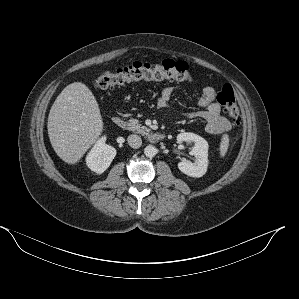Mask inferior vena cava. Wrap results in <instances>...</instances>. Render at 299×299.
<instances>
[{"mask_svg": "<svg viewBox=\"0 0 299 299\" xmlns=\"http://www.w3.org/2000/svg\"><path fill=\"white\" fill-rule=\"evenodd\" d=\"M128 144L132 147V148H139L142 145V140L141 137L138 135H129L127 138Z\"/></svg>", "mask_w": 299, "mask_h": 299, "instance_id": "602c4592", "label": "inferior vena cava"}]
</instances>
